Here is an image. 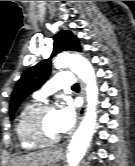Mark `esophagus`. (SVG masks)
<instances>
[{"label":"esophagus","mask_w":135,"mask_h":166,"mask_svg":"<svg viewBox=\"0 0 135 166\" xmlns=\"http://www.w3.org/2000/svg\"><path fill=\"white\" fill-rule=\"evenodd\" d=\"M81 95L84 99V103L82 105V107L79 110V119H82L84 112H85V86L83 83H81Z\"/></svg>","instance_id":"34e87169"}]
</instances>
